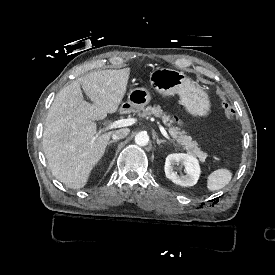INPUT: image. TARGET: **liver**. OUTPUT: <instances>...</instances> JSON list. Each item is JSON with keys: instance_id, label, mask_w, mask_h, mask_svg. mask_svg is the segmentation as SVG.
<instances>
[{"instance_id": "obj_1", "label": "liver", "mask_w": 275, "mask_h": 275, "mask_svg": "<svg viewBox=\"0 0 275 275\" xmlns=\"http://www.w3.org/2000/svg\"><path fill=\"white\" fill-rule=\"evenodd\" d=\"M130 75L129 68L90 72L56 95L46 119L43 150L52 174L67 187L84 188L102 160L113 131L91 143L95 121L117 113ZM81 87L94 104L85 101Z\"/></svg>"}]
</instances>
